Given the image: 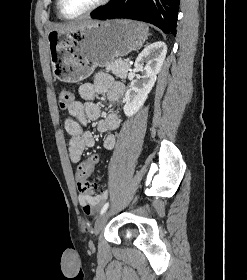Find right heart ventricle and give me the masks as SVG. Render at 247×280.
I'll use <instances>...</instances> for the list:
<instances>
[{"instance_id": "right-heart-ventricle-1", "label": "right heart ventricle", "mask_w": 247, "mask_h": 280, "mask_svg": "<svg viewBox=\"0 0 247 280\" xmlns=\"http://www.w3.org/2000/svg\"><path fill=\"white\" fill-rule=\"evenodd\" d=\"M56 8H57V2H56ZM58 15H59V13H58ZM59 17H60V15H59Z\"/></svg>"}]
</instances>
